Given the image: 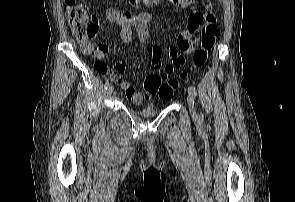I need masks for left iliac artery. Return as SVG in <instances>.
Here are the masks:
<instances>
[{"instance_id": "obj_1", "label": "left iliac artery", "mask_w": 295, "mask_h": 202, "mask_svg": "<svg viewBox=\"0 0 295 202\" xmlns=\"http://www.w3.org/2000/svg\"><path fill=\"white\" fill-rule=\"evenodd\" d=\"M188 91H189V93L193 94L194 96H197V91H196L195 87L189 86ZM199 119L203 120V114L201 112L199 114Z\"/></svg>"}]
</instances>
